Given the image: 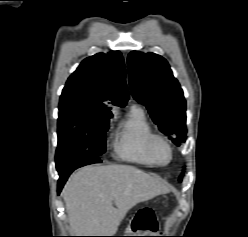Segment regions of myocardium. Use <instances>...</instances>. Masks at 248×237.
Returning <instances> with one entry per match:
<instances>
[{
	"mask_svg": "<svg viewBox=\"0 0 248 237\" xmlns=\"http://www.w3.org/2000/svg\"><path fill=\"white\" fill-rule=\"evenodd\" d=\"M156 142H161L168 149L169 158L166 162H161L156 158V156L154 154V145ZM146 151H147V154L150 157L151 161L156 166L165 167V166L169 165L173 160V153H174L173 147H172L170 141L164 135L155 134V133L150 135L149 138L147 139V142H146Z\"/></svg>",
	"mask_w": 248,
	"mask_h": 237,
	"instance_id": "obj_1",
	"label": "myocardium"
}]
</instances>
